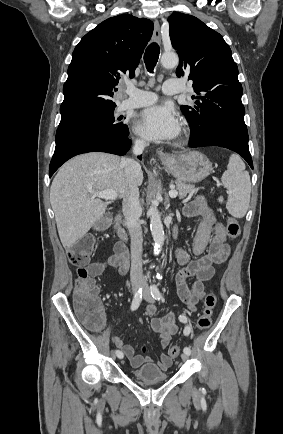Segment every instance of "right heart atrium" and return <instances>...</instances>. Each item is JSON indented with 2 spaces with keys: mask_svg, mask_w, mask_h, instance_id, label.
I'll return each mask as SVG.
<instances>
[{
  "mask_svg": "<svg viewBox=\"0 0 283 434\" xmlns=\"http://www.w3.org/2000/svg\"><path fill=\"white\" fill-rule=\"evenodd\" d=\"M136 143H137L138 145H144V144H145V141L142 140V139H136Z\"/></svg>",
  "mask_w": 283,
  "mask_h": 434,
  "instance_id": "obj_1",
  "label": "right heart atrium"
}]
</instances>
